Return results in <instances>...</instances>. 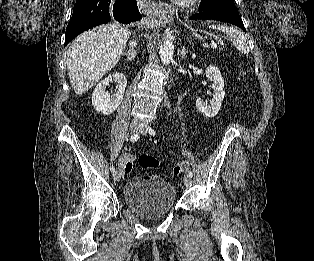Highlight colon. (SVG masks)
<instances>
[{"label": "colon", "mask_w": 314, "mask_h": 261, "mask_svg": "<svg viewBox=\"0 0 314 261\" xmlns=\"http://www.w3.org/2000/svg\"><path fill=\"white\" fill-rule=\"evenodd\" d=\"M137 163L140 167L144 169H157L159 167V162L156 158H154L151 155H140L137 158ZM189 167L188 162H181L175 165L173 172L176 175H179L187 170ZM153 176H150L149 178H152Z\"/></svg>", "instance_id": "colon-1"}]
</instances>
